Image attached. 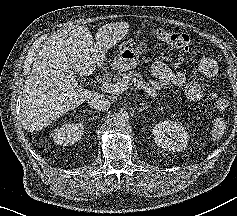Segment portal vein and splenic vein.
<instances>
[{
	"label": "portal vein and splenic vein",
	"instance_id": "portal-vein-and-splenic-vein-1",
	"mask_svg": "<svg viewBox=\"0 0 237 216\" xmlns=\"http://www.w3.org/2000/svg\"><path fill=\"white\" fill-rule=\"evenodd\" d=\"M126 83H117V84H104V88L112 94H117L126 90Z\"/></svg>",
	"mask_w": 237,
	"mask_h": 216
}]
</instances>
